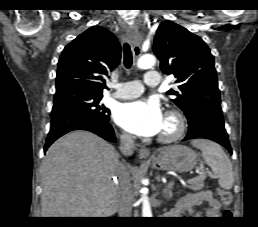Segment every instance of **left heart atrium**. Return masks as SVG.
Segmentation results:
<instances>
[{
  "instance_id": "left-heart-atrium-1",
  "label": "left heart atrium",
  "mask_w": 258,
  "mask_h": 227,
  "mask_svg": "<svg viewBox=\"0 0 258 227\" xmlns=\"http://www.w3.org/2000/svg\"><path fill=\"white\" fill-rule=\"evenodd\" d=\"M164 119L159 103L152 99L122 104L115 113L118 125L139 136L158 134L162 130Z\"/></svg>"
}]
</instances>
